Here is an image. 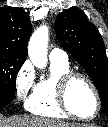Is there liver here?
I'll return each instance as SVG.
<instances>
[{
    "instance_id": "liver-1",
    "label": "liver",
    "mask_w": 108,
    "mask_h": 127,
    "mask_svg": "<svg viewBox=\"0 0 108 127\" xmlns=\"http://www.w3.org/2000/svg\"><path fill=\"white\" fill-rule=\"evenodd\" d=\"M0 127H90L88 125L70 124L52 118L37 116L13 115L10 117L0 116Z\"/></svg>"
}]
</instances>
